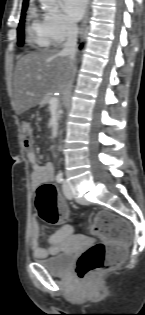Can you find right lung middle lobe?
<instances>
[{"instance_id": "obj_1", "label": "right lung middle lobe", "mask_w": 145, "mask_h": 315, "mask_svg": "<svg viewBox=\"0 0 145 315\" xmlns=\"http://www.w3.org/2000/svg\"><path fill=\"white\" fill-rule=\"evenodd\" d=\"M27 9V6L22 8L21 18L19 22L18 27V45L22 46L24 42V18H25V11Z\"/></svg>"}]
</instances>
